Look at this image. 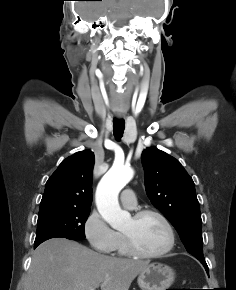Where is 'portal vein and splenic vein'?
Listing matches in <instances>:
<instances>
[{"instance_id":"portal-vein-and-splenic-vein-1","label":"portal vein and splenic vein","mask_w":236,"mask_h":290,"mask_svg":"<svg viewBox=\"0 0 236 290\" xmlns=\"http://www.w3.org/2000/svg\"><path fill=\"white\" fill-rule=\"evenodd\" d=\"M91 290H95V287H94V288H92Z\"/></svg>"}]
</instances>
